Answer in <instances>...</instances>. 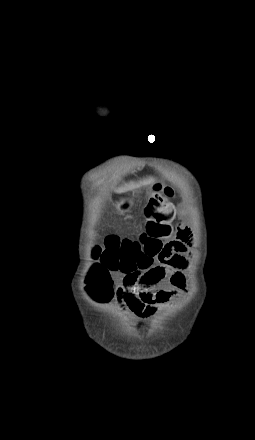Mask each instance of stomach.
I'll return each instance as SVG.
<instances>
[{"mask_svg": "<svg viewBox=\"0 0 255 440\" xmlns=\"http://www.w3.org/2000/svg\"><path fill=\"white\" fill-rule=\"evenodd\" d=\"M133 206V201L131 199H123L119 203H117L116 208L119 212L125 213L128 212Z\"/></svg>", "mask_w": 255, "mask_h": 440, "instance_id": "0dacf381", "label": "stomach"}]
</instances>
